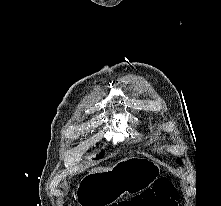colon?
Wrapping results in <instances>:
<instances>
[{"label":"colon","mask_w":221,"mask_h":206,"mask_svg":"<svg viewBox=\"0 0 221 206\" xmlns=\"http://www.w3.org/2000/svg\"><path fill=\"white\" fill-rule=\"evenodd\" d=\"M178 195L165 178L158 179L152 188L132 200H122L112 206H177Z\"/></svg>","instance_id":"5ec220e1"}]
</instances>
